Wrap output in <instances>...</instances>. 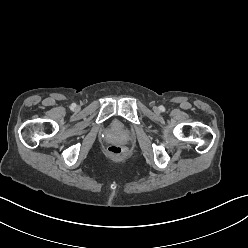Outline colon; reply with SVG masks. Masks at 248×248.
I'll return each mask as SVG.
<instances>
[{
	"label": "colon",
	"mask_w": 248,
	"mask_h": 248,
	"mask_svg": "<svg viewBox=\"0 0 248 248\" xmlns=\"http://www.w3.org/2000/svg\"><path fill=\"white\" fill-rule=\"evenodd\" d=\"M108 154L111 158L118 160L124 157L125 150L120 145L114 144V145L109 146Z\"/></svg>",
	"instance_id": "colon-1"
}]
</instances>
